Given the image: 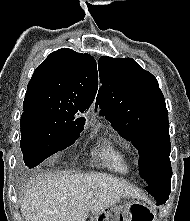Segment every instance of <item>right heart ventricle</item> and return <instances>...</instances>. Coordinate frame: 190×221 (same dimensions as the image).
Returning <instances> with one entry per match:
<instances>
[{"label":"right heart ventricle","instance_id":"right-heart-ventricle-1","mask_svg":"<svg viewBox=\"0 0 190 221\" xmlns=\"http://www.w3.org/2000/svg\"><path fill=\"white\" fill-rule=\"evenodd\" d=\"M96 155L105 167L114 172L127 174L131 170L130 159L127 152L110 139H103L101 141Z\"/></svg>","mask_w":190,"mask_h":221}]
</instances>
